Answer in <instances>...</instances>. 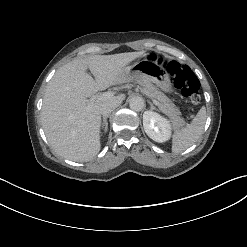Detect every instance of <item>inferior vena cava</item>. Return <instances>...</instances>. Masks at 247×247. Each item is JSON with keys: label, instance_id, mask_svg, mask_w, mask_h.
I'll return each instance as SVG.
<instances>
[{"label": "inferior vena cava", "instance_id": "602c4592", "mask_svg": "<svg viewBox=\"0 0 247 247\" xmlns=\"http://www.w3.org/2000/svg\"><path fill=\"white\" fill-rule=\"evenodd\" d=\"M119 104L120 102L117 100L104 102L100 107V113L103 117L108 116Z\"/></svg>", "mask_w": 247, "mask_h": 247}]
</instances>
